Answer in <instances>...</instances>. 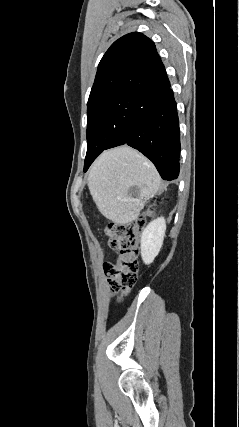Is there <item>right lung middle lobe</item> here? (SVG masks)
I'll return each mask as SVG.
<instances>
[{
	"instance_id": "right-lung-middle-lobe-1",
	"label": "right lung middle lobe",
	"mask_w": 239,
	"mask_h": 427,
	"mask_svg": "<svg viewBox=\"0 0 239 427\" xmlns=\"http://www.w3.org/2000/svg\"><path fill=\"white\" fill-rule=\"evenodd\" d=\"M143 97L127 95L97 101L87 108V154L84 172L103 151L121 145L128 136L132 119Z\"/></svg>"
}]
</instances>
